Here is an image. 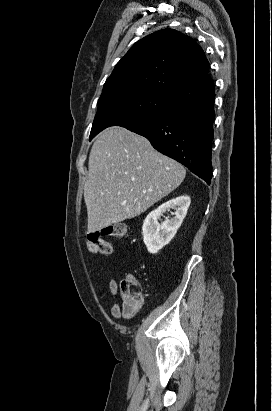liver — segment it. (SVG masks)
Returning <instances> with one entry per match:
<instances>
[{"label":"liver","mask_w":272,"mask_h":411,"mask_svg":"<svg viewBox=\"0 0 272 411\" xmlns=\"http://www.w3.org/2000/svg\"><path fill=\"white\" fill-rule=\"evenodd\" d=\"M84 186L88 233L132 219L184 180L185 168L123 127L105 129L95 140Z\"/></svg>","instance_id":"liver-1"}]
</instances>
